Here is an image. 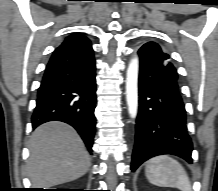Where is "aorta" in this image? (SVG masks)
Instances as JSON below:
<instances>
[{"mask_svg":"<svg viewBox=\"0 0 218 191\" xmlns=\"http://www.w3.org/2000/svg\"><path fill=\"white\" fill-rule=\"evenodd\" d=\"M138 72L139 60L134 57L128 66L126 74V101L131 118L135 119L138 112Z\"/></svg>","mask_w":218,"mask_h":191,"instance_id":"1","label":"aorta"}]
</instances>
